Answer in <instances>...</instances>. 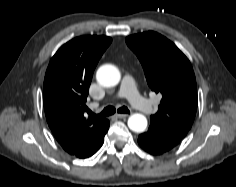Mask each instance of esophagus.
Instances as JSON below:
<instances>
[{
    "label": "esophagus",
    "mask_w": 236,
    "mask_h": 187,
    "mask_svg": "<svg viewBox=\"0 0 236 187\" xmlns=\"http://www.w3.org/2000/svg\"><path fill=\"white\" fill-rule=\"evenodd\" d=\"M117 118H126L128 117L129 115L128 114H116L115 115Z\"/></svg>",
    "instance_id": "1"
}]
</instances>
